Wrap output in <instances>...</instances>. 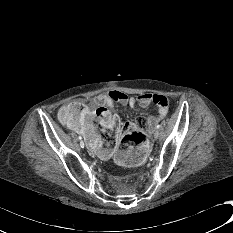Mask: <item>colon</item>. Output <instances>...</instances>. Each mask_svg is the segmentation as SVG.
<instances>
[{
    "instance_id": "colon-1",
    "label": "colon",
    "mask_w": 233,
    "mask_h": 233,
    "mask_svg": "<svg viewBox=\"0 0 233 233\" xmlns=\"http://www.w3.org/2000/svg\"><path fill=\"white\" fill-rule=\"evenodd\" d=\"M83 106L79 103H70L64 106L60 111V117L67 125L76 123L78 116L81 115ZM107 114L104 109H99L96 112L98 119H103V116ZM125 134L121 140V149H131L136 145H143L146 141L147 134L142 128H136L132 123H126L124 125Z\"/></svg>"
}]
</instances>
